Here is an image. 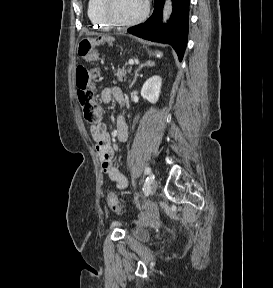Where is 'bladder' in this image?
Listing matches in <instances>:
<instances>
[{"label":"bladder","mask_w":273,"mask_h":288,"mask_svg":"<svg viewBox=\"0 0 273 288\" xmlns=\"http://www.w3.org/2000/svg\"><path fill=\"white\" fill-rule=\"evenodd\" d=\"M131 236L135 238L136 240H139L142 242H146L150 239V233L146 229H143V228L135 229L132 232Z\"/></svg>","instance_id":"obj_1"}]
</instances>
